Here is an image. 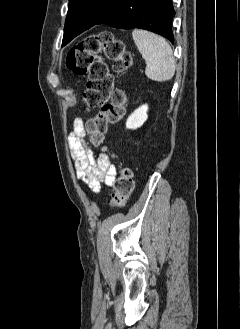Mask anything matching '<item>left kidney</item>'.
Segmentation results:
<instances>
[{
	"mask_svg": "<svg viewBox=\"0 0 240 329\" xmlns=\"http://www.w3.org/2000/svg\"><path fill=\"white\" fill-rule=\"evenodd\" d=\"M148 105H142L138 109H136L127 119L126 128L127 129H137L143 125V123L147 120L148 115Z\"/></svg>",
	"mask_w": 240,
	"mask_h": 329,
	"instance_id": "obj_1",
	"label": "left kidney"
}]
</instances>
